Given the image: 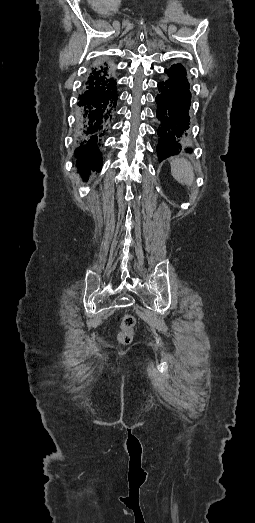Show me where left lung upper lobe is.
<instances>
[{
	"instance_id": "5c2ea615",
	"label": "left lung upper lobe",
	"mask_w": 255,
	"mask_h": 523,
	"mask_svg": "<svg viewBox=\"0 0 255 523\" xmlns=\"http://www.w3.org/2000/svg\"><path fill=\"white\" fill-rule=\"evenodd\" d=\"M165 73L168 75V76H173L175 78V81L177 82V85L179 84H182V85H186L188 88H190L189 86V82H188V79L186 77V69L185 67L180 64V63H177V64H173L169 69H166L165 70ZM158 97V96H157ZM156 100V99H155ZM189 111V110H188ZM156 116H157V113H156ZM190 122V121H189ZM161 124V123H160ZM189 129V128H188ZM159 135H158V144H157V148H156V151L158 149V145H159ZM187 141V140H186ZM187 145V144H186ZM186 151H189V149L186 148ZM158 153V152H157ZM175 154V153H174ZM173 154V155H174Z\"/></svg>"
}]
</instances>
